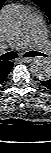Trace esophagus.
Instances as JSON below:
<instances>
[{
  "label": "esophagus",
  "mask_w": 51,
  "mask_h": 153,
  "mask_svg": "<svg viewBox=\"0 0 51 153\" xmlns=\"http://www.w3.org/2000/svg\"><path fill=\"white\" fill-rule=\"evenodd\" d=\"M20 60L23 61V62L28 63V62H31L33 60V58H30V57H22V58H20Z\"/></svg>",
  "instance_id": "1"
}]
</instances>
